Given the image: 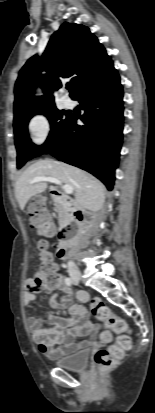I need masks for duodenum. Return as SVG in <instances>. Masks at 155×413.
<instances>
[{"mask_svg":"<svg viewBox=\"0 0 155 413\" xmlns=\"http://www.w3.org/2000/svg\"><path fill=\"white\" fill-rule=\"evenodd\" d=\"M51 196L54 200L62 203L68 210L69 221L61 231V239L57 247V256L60 259H66L70 256L73 248L75 226L81 228L84 223L82 211L75 205L71 198L66 197L58 188L50 189Z\"/></svg>","mask_w":155,"mask_h":413,"instance_id":"410a0bca","label":"duodenum"}]
</instances>
